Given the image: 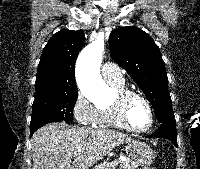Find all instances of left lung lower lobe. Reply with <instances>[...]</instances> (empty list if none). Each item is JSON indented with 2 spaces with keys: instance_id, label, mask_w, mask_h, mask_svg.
I'll use <instances>...</instances> for the list:
<instances>
[{
  "instance_id": "obj_1",
  "label": "left lung lower lobe",
  "mask_w": 200,
  "mask_h": 169,
  "mask_svg": "<svg viewBox=\"0 0 200 169\" xmlns=\"http://www.w3.org/2000/svg\"><path fill=\"white\" fill-rule=\"evenodd\" d=\"M148 138H165L177 146L176 123H161L160 127Z\"/></svg>"
}]
</instances>
